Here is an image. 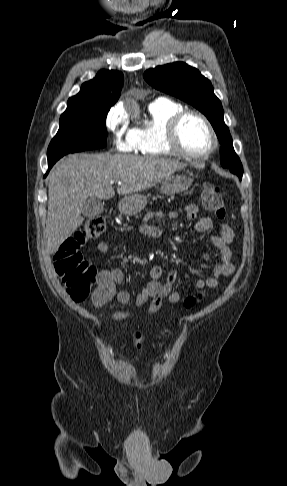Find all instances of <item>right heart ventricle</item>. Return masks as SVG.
<instances>
[{"instance_id":"obj_1","label":"right heart ventricle","mask_w":287,"mask_h":486,"mask_svg":"<svg viewBox=\"0 0 287 486\" xmlns=\"http://www.w3.org/2000/svg\"><path fill=\"white\" fill-rule=\"evenodd\" d=\"M182 110L181 104L170 99L158 98L152 101L148 106V120L131 130L133 151L153 157L174 155L165 142V128L168 121Z\"/></svg>"}]
</instances>
